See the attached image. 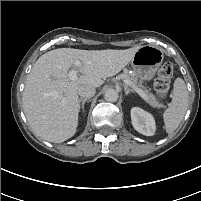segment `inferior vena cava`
Listing matches in <instances>:
<instances>
[{
    "mask_svg": "<svg viewBox=\"0 0 201 201\" xmlns=\"http://www.w3.org/2000/svg\"><path fill=\"white\" fill-rule=\"evenodd\" d=\"M96 93V90L94 87L91 86H80L78 88V94L81 96V98L89 99L93 97Z\"/></svg>",
    "mask_w": 201,
    "mask_h": 201,
    "instance_id": "1",
    "label": "inferior vena cava"
}]
</instances>
